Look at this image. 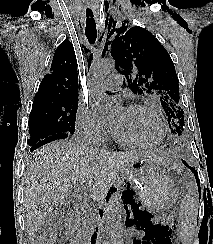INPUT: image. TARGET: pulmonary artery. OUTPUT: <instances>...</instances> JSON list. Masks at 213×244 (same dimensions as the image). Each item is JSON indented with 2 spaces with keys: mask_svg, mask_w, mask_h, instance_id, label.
<instances>
[{
  "mask_svg": "<svg viewBox=\"0 0 213 244\" xmlns=\"http://www.w3.org/2000/svg\"><path fill=\"white\" fill-rule=\"evenodd\" d=\"M123 81V75L119 73H113L104 83L101 84V88L104 91L115 92L121 88Z\"/></svg>",
  "mask_w": 213,
  "mask_h": 244,
  "instance_id": "1",
  "label": "pulmonary artery"
}]
</instances>
